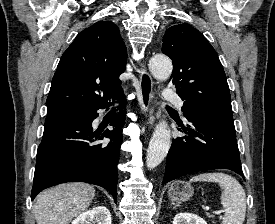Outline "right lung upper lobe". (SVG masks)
Returning a JSON list of instances; mask_svg holds the SVG:
<instances>
[{
	"mask_svg": "<svg viewBox=\"0 0 275 224\" xmlns=\"http://www.w3.org/2000/svg\"><path fill=\"white\" fill-rule=\"evenodd\" d=\"M126 47L118 27L98 21L83 30L62 55L47 97V112L90 109L121 93ZM103 92V96L100 93Z\"/></svg>",
	"mask_w": 275,
	"mask_h": 224,
	"instance_id": "obj_1",
	"label": "right lung upper lobe"
}]
</instances>
